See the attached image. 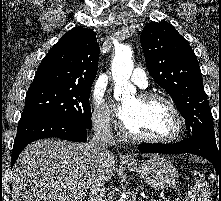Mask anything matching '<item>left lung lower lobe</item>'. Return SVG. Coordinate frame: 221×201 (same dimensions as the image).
I'll use <instances>...</instances> for the list:
<instances>
[{
	"instance_id": "1",
	"label": "left lung lower lobe",
	"mask_w": 221,
	"mask_h": 201,
	"mask_svg": "<svg viewBox=\"0 0 221 201\" xmlns=\"http://www.w3.org/2000/svg\"><path fill=\"white\" fill-rule=\"evenodd\" d=\"M138 150L143 153L195 154L209 160L221 176V146L201 134L190 135L188 139L174 144H141Z\"/></svg>"
}]
</instances>
